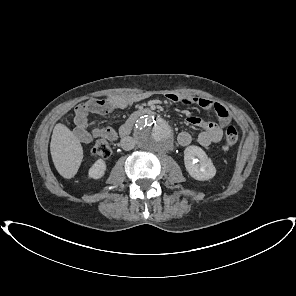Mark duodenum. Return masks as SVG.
<instances>
[{
  "instance_id": "1",
  "label": "duodenum",
  "mask_w": 296,
  "mask_h": 296,
  "mask_svg": "<svg viewBox=\"0 0 296 296\" xmlns=\"http://www.w3.org/2000/svg\"><path fill=\"white\" fill-rule=\"evenodd\" d=\"M155 112L149 108H142L135 111L128 120L121 126L120 128V136L121 138L125 139L131 133L132 128L134 127L136 121L147 115H153Z\"/></svg>"
}]
</instances>
